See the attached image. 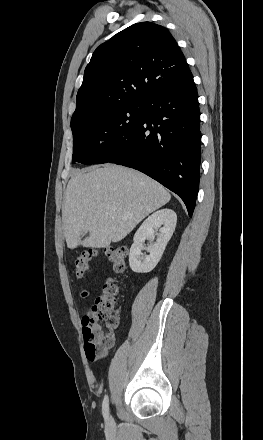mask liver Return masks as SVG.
<instances>
[{"mask_svg":"<svg viewBox=\"0 0 263 440\" xmlns=\"http://www.w3.org/2000/svg\"><path fill=\"white\" fill-rule=\"evenodd\" d=\"M170 193L150 177L122 166L75 171L68 182L62 220L67 246L106 248L124 239ZM89 237L81 240V236Z\"/></svg>","mask_w":263,"mask_h":440,"instance_id":"1","label":"liver"}]
</instances>
